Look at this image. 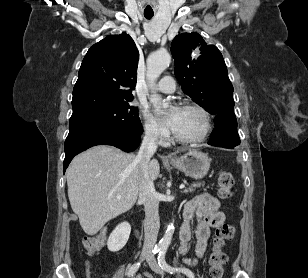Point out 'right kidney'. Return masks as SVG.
<instances>
[{
	"mask_svg": "<svg viewBox=\"0 0 308 278\" xmlns=\"http://www.w3.org/2000/svg\"><path fill=\"white\" fill-rule=\"evenodd\" d=\"M131 232V226L128 222L119 224L110 234L107 247L111 252L121 250L127 243Z\"/></svg>",
	"mask_w": 308,
	"mask_h": 278,
	"instance_id": "obj_1",
	"label": "right kidney"
}]
</instances>
